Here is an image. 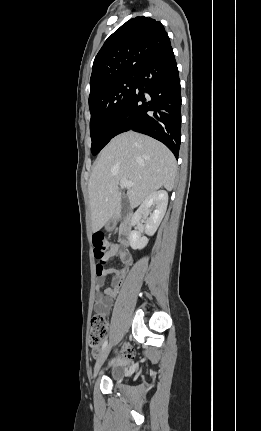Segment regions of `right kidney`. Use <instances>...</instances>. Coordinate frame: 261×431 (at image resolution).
I'll return each mask as SVG.
<instances>
[{
    "instance_id": "obj_1",
    "label": "right kidney",
    "mask_w": 261,
    "mask_h": 431,
    "mask_svg": "<svg viewBox=\"0 0 261 431\" xmlns=\"http://www.w3.org/2000/svg\"><path fill=\"white\" fill-rule=\"evenodd\" d=\"M167 204L168 194L166 191L159 190L150 194L133 215V223L136 224L142 216L150 214L146 220L145 233L148 236H152L166 213ZM152 206H155L153 213H151ZM129 242L132 249H142L147 245L148 238L142 237L140 231L134 230L129 235Z\"/></svg>"
}]
</instances>
